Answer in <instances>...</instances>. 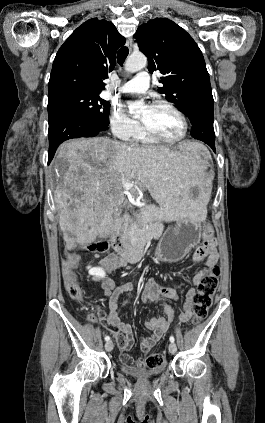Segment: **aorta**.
<instances>
[{"label": "aorta", "mask_w": 265, "mask_h": 423, "mask_svg": "<svg viewBox=\"0 0 265 423\" xmlns=\"http://www.w3.org/2000/svg\"><path fill=\"white\" fill-rule=\"evenodd\" d=\"M147 64V58L143 54H132L129 56L125 63V71L128 73H134L141 69H143ZM128 107L133 110L135 113H138L143 107L144 103L142 101L139 102H131L128 103Z\"/></svg>", "instance_id": "762f6f07"}]
</instances>
